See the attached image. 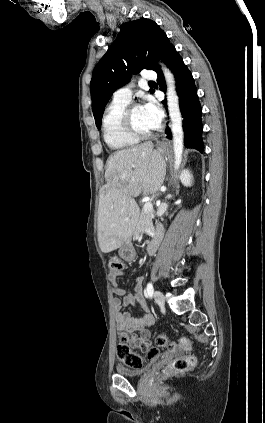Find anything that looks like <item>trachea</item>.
<instances>
[{
    "instance_id": "trachea-1",
    "label": "trachea",
    "mask_w": 265,
    "mask_h": 423,
    "mask_svg": "<svg viewBox=\"0 0 265 423\" xmlns=\"http://www.w3.org/2000/svg\"><path fill=\"white\" fill-rule=\"evenodd\" d=\"M149 84H155V82L151 81V82H149Z\"/></svg>"
}]
</instances>
